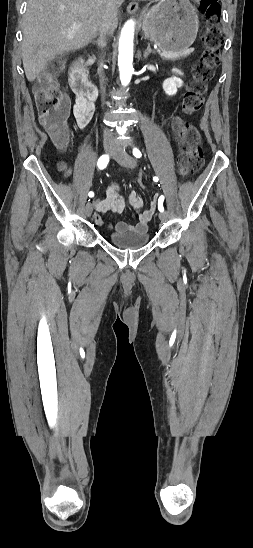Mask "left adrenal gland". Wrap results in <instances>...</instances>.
<instances>
[{
	"instance_id": "obj_1",
	"label": "left adrenal gland",
	"mask_w": 253,
	"mask_h": 548,
	"mask_svg": "<svg viewBox=\"0 0 253 548\" xmlns=\"http://www.w3.org/2000/svg\"><path fill=\"white\" fill-rule=\"evenodd\" d=\"M151 53H154V51L150 47V43L147 44V49L143 53V57L146 59Z\"/></svg>"
}]
</instances>
